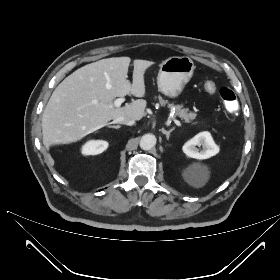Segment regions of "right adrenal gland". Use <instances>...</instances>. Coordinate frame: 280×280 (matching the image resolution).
<instances>
[{"mask_svg": "<svg viewBox=\"0 0 280 280\" xmlns=\"http://www.w3.org/2000/svg\"><path fill=\"white\" fill-rule=\"evenodd\" d=\"M112 123V122H111ZM111 123L108 124V128H114V129H119L121 126L120 125H110Z\"/></svg>", "mask_w": 280, "mask_h": 280, "instance_id": "obj_1", "label": "right adrenal gland"}]
</instances>
